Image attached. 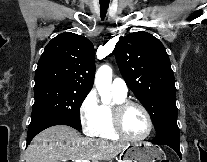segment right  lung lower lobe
Masks as SVG:
<instances>
[{
	"mask_svg": "<svg viewBox=\"0 0 207 162\" xmlns=\"http://www.w3.org/2000/svg\"><path fill=\"white\" fill-rule=\"evenodd\" d=\"M55 125H68L75 129H77L72 123L56 118V117H40L36 118L34 120H31V123L28 128V136H27V145L30 143V141L35 137L39 132L42 130L55 126Z\"/></svg>",
	"mask_w": 207,
	"mask_h": 162,
	"instance_id": "98d812e1",
	"label": "right lung lower lobe"
}]
</instances>
